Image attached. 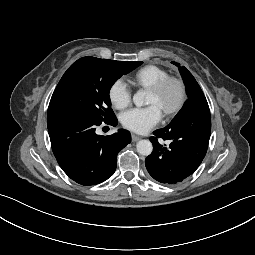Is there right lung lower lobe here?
<instances>
[{
	"mask_svg": "<svg viewBox=\"0 0 255 255\" xmlns=\"http://www.w3.org/2000/svg\"><path fill=\"white\" fill-rule=\"evenodd\" d=\"M103 121L72 113L48 114L47 126L56 160L69 178L90 186L113 175L117 154L131 142L124 129L110 136L95 133ZM116 126V117L104 121Z\"/></svg>",
	"mask_w": 255,
	"mask_h": 255,
	"instance_id": "right-lung-lower-lobe-1",
	"label": "right lung lower lobe"
}]
</instances>
